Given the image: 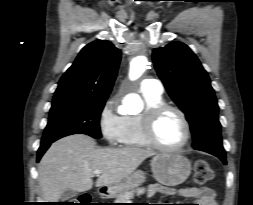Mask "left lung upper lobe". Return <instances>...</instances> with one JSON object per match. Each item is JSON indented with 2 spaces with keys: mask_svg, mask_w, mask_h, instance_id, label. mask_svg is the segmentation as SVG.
Masks as SVG:
<instances>
[{
  "mask_svg": "<svg viewBox=\"0 0 253 205\" xmlns=\"http://www.w3.org/2000/svg\"><path fill=\"white\" fill-rule=\"evenodd\" d=\"M152 58L167 92L190 123L192 147L226 156L217 100L210 79L196 55L184 43L171 42L163 48L153 49Z\"/></svg>",
  "mask_w": 253,
  "mask_h": 205,
  "instance_id": "1",
  "label": "left lung upper lobe"
}]
</instances>
